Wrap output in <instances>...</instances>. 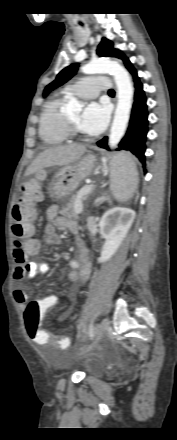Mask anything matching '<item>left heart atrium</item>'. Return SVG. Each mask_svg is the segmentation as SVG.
Wrapping results in <instances>:
<instances>
[{"label": "left heart atrium", "instance_id": "1", "mask_svg": "<svg viewBox=\"0 0 177 440\" xmlns=\"http://www.w3.org/2000/svg\"><path fill=\"white\" fill-rule=\"evenodd\" d=\"M109 121V108L105 103L91 102L81 113L78 129L84 133L95 135L101 133Z\"/></svg>", "mask_w": 177, "mask_h": 440}]
</instances>
